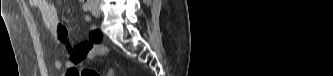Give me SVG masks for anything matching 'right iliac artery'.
<instances>
[{
    "mask_svg": "<svg viewBox=\"0 0 333 76\" xmlns=\"http://www.w3.org/2000/svg\"><path fill=\"white\" fill-rule=\"evenodd\" d=\"M92 7V2L91 1H87L84 5H83V9L84 11H88L90 10Z\"/></svg>",
    "mask_w": 333,
    "mask_h": 76,
    "instance_id": "1",
    "label": "right iliac artery"
}]
</instances>
